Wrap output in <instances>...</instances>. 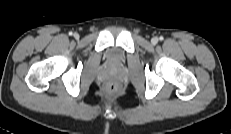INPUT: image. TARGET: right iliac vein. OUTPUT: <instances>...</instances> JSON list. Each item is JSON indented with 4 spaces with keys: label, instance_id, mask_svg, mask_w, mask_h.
I'll use <instances>...</instances> for the list:
<instances>
[{
    "label": "right iliac vein",
    "instance_id": "obj_1",
    "mask_svg": "<svg viewBox=\"0 0 231 134\" xmlns=\"http://www.w3.org/2000/svg\"><path fill=\"white\" fill-rule=\"evenodd\" d=\"M74 37H75L76 39H78V38H79V34H78V33H75V34H74Z\"/></svg>",
    "mask_w": 231,
    "mask_h": 134
}]
</instances>
